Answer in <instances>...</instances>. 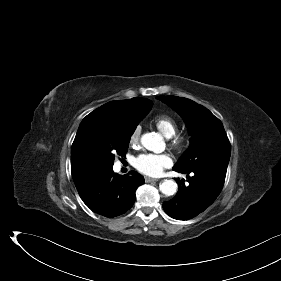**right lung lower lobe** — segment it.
I'll list each match as a JSON object with an SVG mask.
<instances>
[{
	"instance_id": "obj_1",
	"label": "right lung lower lobe",
	"mask_w": 281,
	"mask_h": 281,
	"mask_svg": "<svg viewBox=\"0 0 281 281\" xmlns=\"http://www.w3.org/2000/svg\"><path fill=\"white\" fill-rule=\"evenodd\" d=\"M83 202L95 213L115 217L129 210L135 202L136 189L144 178L132 171L131 176L118 175L112 167H103L74 178Z\"/></svg>"
}]
</instances>
